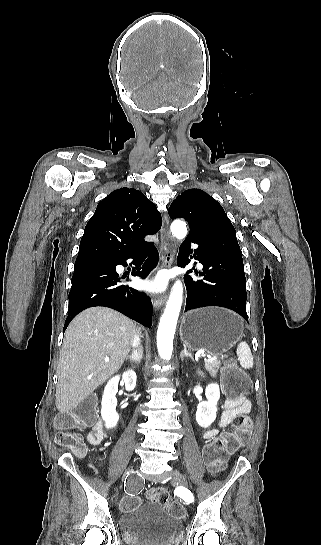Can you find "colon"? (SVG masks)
<instances>
[{"mask_svg":"<svg viewBox=\"0 0 321 545\" xmlns=\"http://www.w3.org/2000/svg\"><path fill=\"white\" fill-rule=\"evenodd\" d=\"M222 383L226 395L232 399L239 398L250 390L248 377L238 370L232 362H228L224 367ZM94 410V400L86 399L78 407L60 414L56 418V425L61 431L56 434L55 442L60 446L71 449L77 456H84L86 447L81 429L93 422ZM252 425L253 421L248 415H240L236 418L232 431L215 438L205 446L203 457L212 473L219 472L224 467L227 456L237 452L247 443ZM74 428L79 430H72ZM147 496L165 505L172 515L179 518L184 516L183 507L179 503L170 500L166 488H152L148 491ZM141 502L140 497L129 494L121 500L120 509L130 511L138 507Z\"/></svg>","mask_w":321,"mask_h":545,"instance_id":"obj_1","label":"colon"}]
</instances>
